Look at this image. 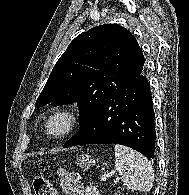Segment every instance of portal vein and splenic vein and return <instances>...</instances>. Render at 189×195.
<instances>
[{"instance_id": "1", "label": "portal vein and splenic vein", "mask_w": 189, "mask_h": 195, "mask_svg": "<svg viewBox=\"0 0 189 195\" xmlns=\"http://www.w3.org/2000/svg\"><path fill=\"white\" fill-rule=\"evenodd\" d=\"M100 180H101L102 182H105V181L107 180V176H106V175L101 176Z\"/></svg>"}]
</instances>
